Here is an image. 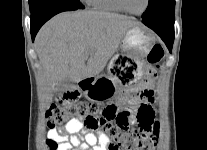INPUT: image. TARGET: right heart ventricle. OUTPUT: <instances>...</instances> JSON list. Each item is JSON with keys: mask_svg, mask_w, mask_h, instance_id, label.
<instances>
[{"mask_svg": "<svg viewBox=\"0 0 207 150\" xmlns=\"http://www.w3.org/2000/svg\"><path fill=\"white\" fill-rule=\"evenodd\" d=\"M87 3L92 6L94 9L106 11V12H114V13H122L123 10L120 8L116 0H86Z\"/></svg>", "mask_w": 207, "mask_h": 150, "instance_id": "e07e8e85", "label": "right heart ventricle"}]
</instances>
